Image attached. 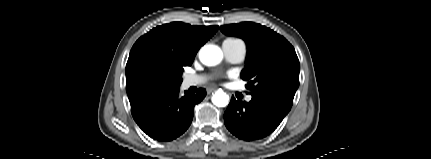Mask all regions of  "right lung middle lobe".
I'll return each mask as SVG.
<instances>
[{"label": "right lung middle lobe", "mask_w": 431, "mask_h": 159, "mask_svg": "<svg viewBox=\"0 0 431 159\" xmlns=\"http://www.w3.org/2000/svg\"><path fill=\"white\" fill-rule=\"evenodd\" d=\"M190 63H180L177 61L156 58L151 61V68L155 74L163 81L174 87H179L182 82V72L184 66Z\"/></svg>", "instance_id": "dd1d6c3e"}]
</instances>
